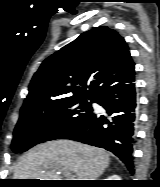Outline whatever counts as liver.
<instances>
[{
  "mask_svg": "<svg viewBox=\"0 0 160 187\" xmlns=\"http://www.w3.org/2000/svg\"><path fill=\"white\" fill-rule=\"evenodd\" d=\"M109 163L103 149L70 140L49 141L20 158L14 179L61 180L60 173L70 172L76 180H97Z\"/></svg>",
  "mask_w": 160,
  "mask_h": 187,
  "instance_id": "liver-1",
  "label": "liver"
}]
</instances>
